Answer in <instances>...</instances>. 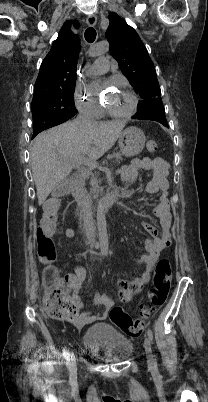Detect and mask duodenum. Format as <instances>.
Instances as JSON below:
<instances>
[{"instance_id":"obj_1","label":"duodenum","mask_w":208,"mask_h":402,"mask_svg":"<svg viewBox=\"0 0 208 402\" xmlns=\"http://www.w3.org/2000/svg\"><path fill=\"white\" fill-rule=\"evenodd\" d=\"M70 185H71V192L75 197V199L83 208H87L88 200L82 189V177L80 175L73 176L70 180ZM118 195H119L118 191L116 189H113L102 199L98 207L101 209L111 208L116 203Z\"/></svg>"}]
</instances>
